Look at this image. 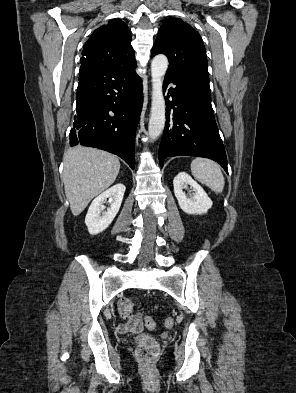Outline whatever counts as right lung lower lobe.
I'll use <instances>...</instances> for the list:
<instances>
[{
  "instance_id": "right-lung-lower-lobe-1",
  "label": "right lung lower lobe",
  "mask_w": 296,
  "mask_h": 393,
  "mask_svg": "<svg viewBox=\"0 0 296 393\" xmlns=\"http://www.w3.org/2000/svg\"><path fill=\"white\" fill-rule=\"evenodd\" d=\"M136 63L120 67L81 65L70 145L96 147L135 167V132L142 108Z\"/></svg>"
}]
</instances>
